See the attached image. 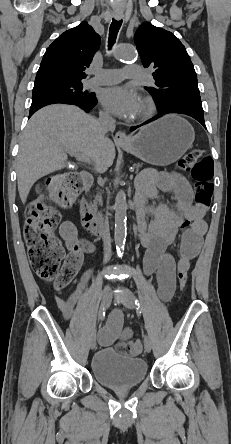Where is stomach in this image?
<instances>
[{"label":"stomach","instance_id":"0dacf381","mask_svg":"<svg viewBox=\"0 0 231 444\" xmlns=\"http://www.w3.org/2000/svg\"><path fill=\"white\" fill-rule=\"evenodd\" d=\"M194 139L193 127L182 117L169 114L145 126L128 144L120 146L149 164L166 166L181 158Z\"/></svg>","mask_w":231,"mask_h":444}]
</instances>
